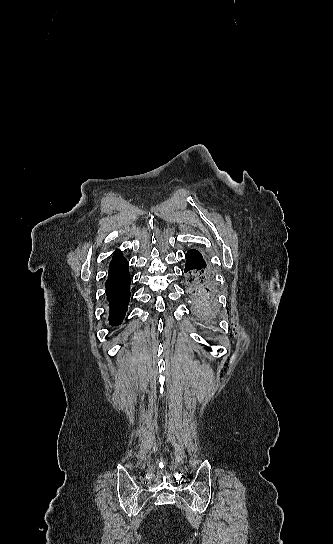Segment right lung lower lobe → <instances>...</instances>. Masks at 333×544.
<instances>
[{
	"label": "right lung lower lobe",
	"mask_w": 333,
	"mask_h": 544,
	"mask_svg": "<svg viewBox=\"0 0 333 544\" xmlns=\"http://www.w3.org/2000/svg\"><path fill=\"white\" fill-rule=\"evenodd\" d=\"M130 283L131 278L127 264L121 270L108 276L105 283L109 323L112 326H118L125 317L130 301Z\"/></svg>",
	"instance_id": "98d812e1"
}]
</instances>
